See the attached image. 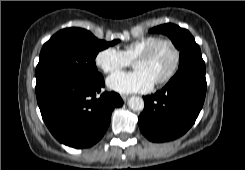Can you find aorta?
Returning a JSON list of instances; mask_svg holds the SVG:
<instances>
[{"label": "aorta", "instance_id": "obj_1", "mask_svg": "<svg viewBox=\"0 0 245 170\" xmlns=\"http://www.w3.org/2000/svg\"><path fill=\"white\" fill-rule=\"evenodd\" d=\"M128 107L133 111H141L144 109V101L141 97L132 96L128 101Z\"/></svg>", "mask_w": 245, "mask_h": 170}]
</instances>
